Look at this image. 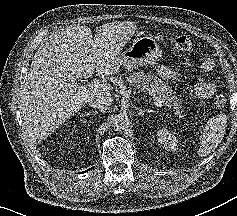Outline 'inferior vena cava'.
<instances>
[{
    "instance_id": "1",
    "label": "inferior vena cava",
    "mask_w": 237,
    "mask_h": 216,
    "mask_svg": "<svg viewBox=\"0 0 237 216\" xmlns=\"http://www.w3.org/2000/svg\"><path fill=\"white\" fill-rule=\"evenodd\" d=\"M112 101L113 100L109 94L103 91H97L91 95L87 100V103L90 107L105 113L110 108Z\"/></svg>"
}]
</instances>
